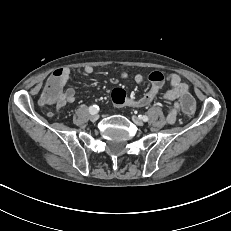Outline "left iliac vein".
<instances>
[{
    "mask_svg": "<svg viewBox=\"0 0 231 231\" xmlns=\"http://www.w3.org/2000/svg\"><path fill=\"white\" fill-rule=\"evenodd\" d=\"M132 120L135 124H137L138 126H142L143 125V121L141 118H139L138 116L133 115L132 116Z\"/></svg>",
    "mask_w": 231,
    "mask_h": 231,
    "instance_id": "1",
    "label": "left iliac vein"
}]
</instances>
